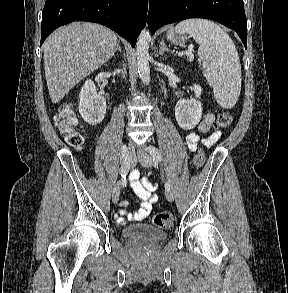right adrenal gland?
<instances>
[{"instance_id":"2a0ac1e0","label":"right adrenal gland","mask_w":288,"mask_h":293,"mask_svg":"<svg viewBox=\"0 0 288 293\" xmlns=\"http://www.w3.org/2000/svg\"><path fill=\"white\" fill-rule=\"evenodd\" d=\"M116 51H119V52H121V48H120V42L118 41V43H117V47H116V50H115V52ZM115 55V53L113 54V56Z\"/></svg>"}]
</instances>
